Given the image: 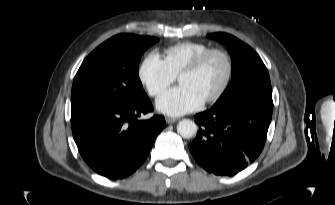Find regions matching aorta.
<instances>
[{
	"instance_id": "762f6f07",
	"label": "aorta",
	"mask_w": 335,
	"mask_h": 205,
	"mask_svg": "<svg viewBox=\"0 0 335 205\" xmlns=\"http://www.w3.org/2000/svg\"><path fill=\"white\" fill-rule=\"evenodd\" d=\"M177 132L183 138H192L197 133V125L189 119H183L177 124Z\"/></svg>"
}]
</instances>
